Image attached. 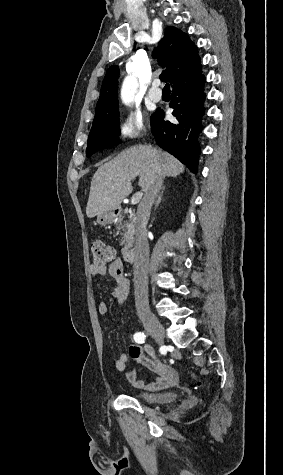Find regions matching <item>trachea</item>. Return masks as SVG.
Instances as JSON below:
<instances>
[{
    "mask_svg": "<svg viewBox=\"0 0 283 475\" xmlns=\"http://www.w3.org/2000/svg\"><path fill=\"white\" fill-rule=\"evenodd\" d=\"M163 92H170V84L166 83V85L163 88Z\"/></svg>",
    "mask_w": 283,
    "mask_h": 475,
    "instance_id": "obj_1",
    "label": "trachea"
}]
</instances>
